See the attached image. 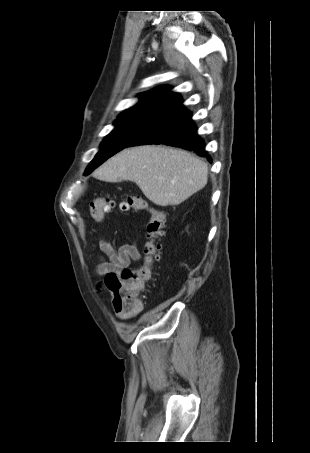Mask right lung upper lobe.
Wrapping results in <instances>:
<instances>
[{
  "label": "right lung upper lobe",
  "mask_w": 310,
  "mask_h": 453,
  "mask_svg": "<svg viewBox=\"0 0 310 453\" xmlns=\"http://www.w3.org/2000/svg\"><path fill=\"white\" fill-rule=\"evenodd\" d=\"M139 102L122 112L119 117L158 118L169 108L182 101L178 93L171 92L168 86L155 88L139 95Z\"/></svg>",
  "instance_id": "1"
}]
</instances>
